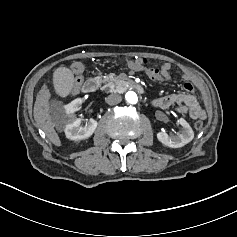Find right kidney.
Here are the masks:
<instances>
[{
	"label": "right kidney",
	"mask_w": 237,
	"mask_h": 237,
	"mask_svg": "<svg viewBox=\"0 0 237 237\" xmlns=\"http://www.w3.org/2000/svg\"><path fill=\"white\" fill-rule=\"evenodd\" d=\"M82 108V100L76 99L68 106L67 121L64 126V132L66 138L71 141H80L88 139L95 132L98 123L94 120H90L84 126H81V120L77 117V111Z\"/></svg>",
	"instance_id": "obj_1"
}]
</instances>
